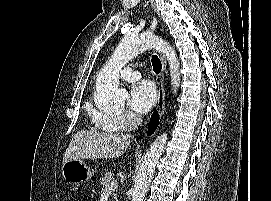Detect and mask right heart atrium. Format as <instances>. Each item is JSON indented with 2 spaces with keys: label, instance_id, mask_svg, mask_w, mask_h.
Segmentation results:
<instances>
[{
  "label": "right heart atrium",
  "instance_id": "obj_1",
  "mask_svg": "<svg viewBox=\"0 0 271 201\" xmlns=\"http://www.w3.org/2000/svg\"><path fill=\"white\" fill-rule=\"evenodd\" d=\"M95 119L98 123H104L122 130H131L139 120L138 116L130 111H125L116 116L98 113Z\"/></svg>",
  "mask_w": 271,
  "mask_h": 201
}]
</instances>
